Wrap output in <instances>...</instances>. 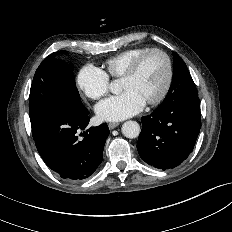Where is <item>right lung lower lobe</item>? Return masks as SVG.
<instances>
[{
    "instance_id": "98d812e1",
    "label": "right lung lower lobe",
    "mask_w": 232,
    "mask_h": 232,
    "mask_svg": "<svg viewBox=\"0 0 232 232\" xmlns=\"http://www.w3.org/2000/svg\"><path fill=\"white\" fill-rule=\"evenodd\" d=\"M90 121L88 110L60 104L35 136L37 150L47 166L64 179L82 180L91 176L102 162L109 135L107 124L81 133Z\"/></svg>"
}]
</instances>
